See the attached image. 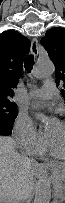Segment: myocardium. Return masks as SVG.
Here are the masks:
<instances>
[{"mask_svg": "<svg viewBox=\"0 0 65 203\" xmlns=\"http://www.w3.org/2000/svg\"><path fill=\"white\" fill-rule=\"evenodd\" d=\"M63 124L65 125V122ZM46 144H47V148H48L49 153L53 157H55V158H64L65 157V153L61 154V153H58L56 151V149L54 148L52 142L50 141V139L48 137L46 139Z\"/></svg>", "mask_w": 65, "mask_h": 203, "instance_id": "obj_1", "label": "myocardium"}]
</instances>
